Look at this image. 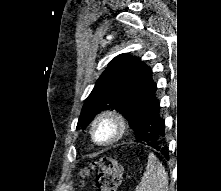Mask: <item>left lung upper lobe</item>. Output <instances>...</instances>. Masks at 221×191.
<instances>
[{
    "label": "left lung upper lobe",
    "mask_w": 221,
    "mask_h": 191,
    "mask_svg": "<svg viewBox=\"0 0 221 191\" xmlns=\"http://www.w3.org/2000/svg\"><path fill=\"white\" fill-rule=\"evenodd\" d=\"M140 63L139 58L126 53L116 56L109 63L84 102L77 128H85L100 111L116 109L127 118L134 130L131 96ZM135 137V142L147 143L139 139L138 133Z\"/></svg>",
    "instance_id": "obj_1"
}]
</instances>
